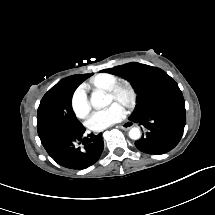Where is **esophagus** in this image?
<instances>
[{
  "instance_id": "esophagus-1",
  "label": "esophagus",
  "mask_w": 215,
  "mask_h": 215,
  "mask_svg": "<svg viewBox=\"0 0 215 215\" xmlns=\"http://www.w3.org/2000/svg\"><path fill=\"white\" fill-rule=\"evenodd\" d=\"M133 126H134V123L132 121H126L122 125H120L119 127L122 130H128V129L132 128Z\"/></svg>"
}]
</instances>
